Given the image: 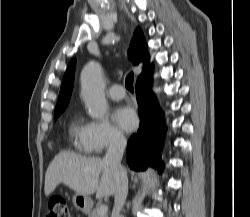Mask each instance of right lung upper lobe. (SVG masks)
Instances as JSON below:
<instances>
[{
  "mask_svg": "<svg viewBox=\"0 0 250 217\" xmlns=\"http://www.w3.org/2000/svg\"><path fill=\"white\" fill-rule=\"evenodd\" d=\"M128 55L134 65L143 62L144 71L150 67L149 55L147 53V46L142 30L138 27L133 35L130 43ZM75 59H73L65 72L62 86L60 89L56 111H64L69 103L74 81Z\"/></svg>",
  "mask_w": 250,
  "mask_h": 217,
  "instance_id": "1",
  "label": "right lung upper lobe"
}]
</instances>
